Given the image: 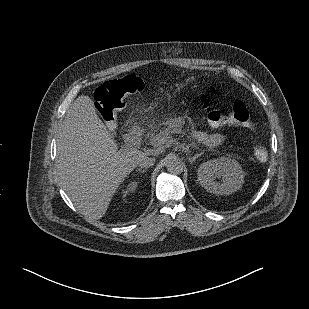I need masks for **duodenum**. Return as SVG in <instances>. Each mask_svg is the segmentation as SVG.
Wrapping results in <instances>:
<instances>
[{"label":"duodenum","instance_id":"obj_1","mask_svg":"<svg viewBox=\"0 0 309 309\" xmlns=\"http://www.w3.org/2000/svg\"><path fill=\"white\" fill-rule=\"evenodd\" d=\"M145 134V127L137 125L132 126L127 133L128 144L134 145L138 143L140 140H142Z\"/></svg>","mask_w":309,"mask_h":309}]
</instances>
